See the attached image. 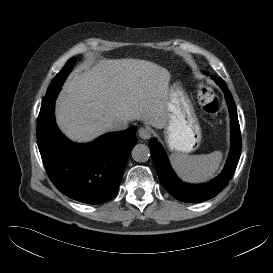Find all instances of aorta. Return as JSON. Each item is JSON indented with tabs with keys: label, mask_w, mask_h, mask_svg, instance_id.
<instances>
[{
	"label": "aorta",
	"mask_w": 273,
	"mask_h": 273,
	"mask_svg": "<svg viewBox=\"0 0 273 273\" xmlns=\"http://www.w3.org/2000/svg\"><path fill=\"white\" fill-rule=\"evenodd\" d=\"M132 158L137 162H146L150 158V149L145 144H137L132 149Z\"/></svg>",
	"instance_id": "obj_1"
}]
</instances>
